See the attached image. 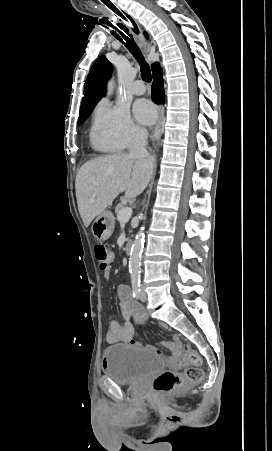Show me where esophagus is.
Masks as SVG:
<instances>
[{"instance_id":"obj_1","label":"esophagus","mask_w":272,"mask_h":451,"mask_svg":"<svg viewBox=\"0 0 272 451\" xmlns=\"http://www.w3.org/2000/svg\"><path fill=\"white\" fill-rule=\"evenodd\" d=\"M133 20V22L135 23V25H134V27H131V30L135 33V34H138L139 36L141 35V30H140V27H139V25H138V23H137V21L135 20V19H132ZM158 111H159V118H158V121H157V123H156V126H155V132H154V135H153V140L154 141H156V140H158L159 139V136H160V131H161V122H162V118H163V115H164V108H163V106L162 105H159L158 106Z\"/></svg>"}]
</instances>
